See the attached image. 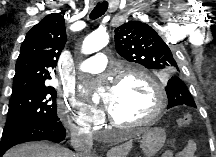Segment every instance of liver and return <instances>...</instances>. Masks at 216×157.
<instances>
[{
    "label": "liver",
    "mask_w": 216,
    "mask_h": 157,
    "mask_svg": "<svg viewBox=\"0 0 216 157\" xmlns=\"http://www.w3.org/2000/svg\"><path fill=\"white\" fill-rule=\"evenodd\" d=\"M130 148L131 143L126 144L124 146L125 152L122 155H126ZM121 150V147L114 148L107 155L108 157H114L119 155ZM4 157H74V153L57 144L32 142L11 148L4 154Z\"/></svg>",
    "instance_id": "1"
}]
</instances>
